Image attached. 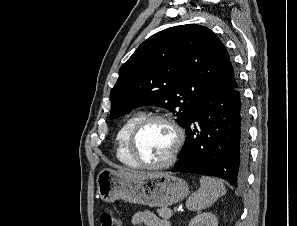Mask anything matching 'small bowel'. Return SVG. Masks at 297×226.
<instances>
[{
	"mask_svg": "<svg viewBox=\"0 0 297 226\" xmlns=\"http://www.w3.org/2000/svg\"><path fill=\"white\" fill-rule=\"evenodd\" d=\"M131 226H170L168 221L149 211H139L131 217Z\"/></svg>",
	"mask_w": 297,
	"mask_h": 226,
	"instance_id": "obj_1",
	"label": "small bowel"
}]
</instances>
